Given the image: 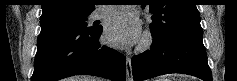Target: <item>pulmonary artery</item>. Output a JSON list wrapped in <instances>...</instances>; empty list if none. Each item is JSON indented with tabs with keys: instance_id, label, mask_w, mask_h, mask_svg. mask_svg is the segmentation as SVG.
<instances>
[{
	"instance_id": "obj_1",
	"label": "pulmonary artery",
	"mask_w": 237,
	"mask_h": 81,
	"mask_svg": "<svg viewBox=\"0 0 237 81\" xmlns=\"http://www.w3.org/2000/svg\"><path fill=\"white\" fill-rule=\"evenodd\" d=\"M119 12V7L118 6H110L106 9H102L100 11L94 12L93 13V18L94 19H100L106 16H110L113 14H117Z\"/></svg>"
}]
</instances>
